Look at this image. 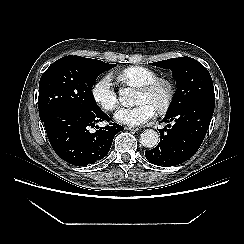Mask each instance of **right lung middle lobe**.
<instances>
[{"label": "right lung middle lobe", "mask_w": 244, "mask_h": 244, "mask_svg": "<svg viewBox=\"0 0 244 244\" xmlns=\"http://www.w3.org/2000/svg\"><path fill=\"white\" fill-rule=\"evenodd\" d=\"M115 66L79 56H65L55 61L40 79V118L64 108L88 111L99 109L91 88L98 75Z\"/></svg>", "instance_id": "1"}]
</instances>
